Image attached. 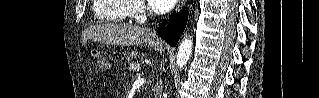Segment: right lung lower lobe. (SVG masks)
I'll use <instances>...</instances> for the list:
<instances>
[{
	"mask_svg": "<svg viewBox=\"0 0 319 98\" xmlns=\"http://www.w3.org/2000/svg\"><path fill=\"white\" fill-rule=\"evenodd\" d=\"M187 18V11H182L174 15L169 20L168 27H165V21H163L158 29V35L171 46H176L181 34L186 27Z\"/></svg>",
	"mask_w": 319,
	"mask_h": 98,
	"instance_id": "1",
	"label": "right lung lower lobe"
}]
</instances>
